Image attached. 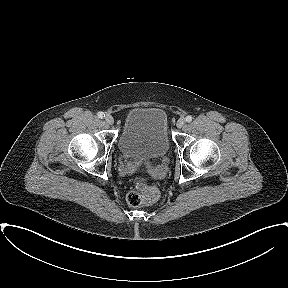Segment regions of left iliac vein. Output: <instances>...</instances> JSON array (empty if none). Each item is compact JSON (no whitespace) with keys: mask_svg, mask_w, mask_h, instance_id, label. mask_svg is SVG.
<instances>
[{"mask_svg":"<svg viewBox=\"0 0 288 288\" xmlns=\"http://www.w3.org/2000/svg\"><path fill=\"white\" fill-rule=\"evenodd\" d=\"M186 123V120L184 118H180L178 121H177V127L178 128H182Z\"/></svg>","mask_w":288,"mask_h":288,"instance_id":"left-iliac-vein-1","label":"left iliac vein"}]
</instances>
